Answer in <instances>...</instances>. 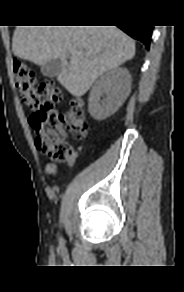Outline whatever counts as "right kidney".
<instances>
[{"mask_svg":"<svg viewBox=\"0 0 184 292\" xmlns=\"http://www.w3.org/2000/svg\"><path fill=\"white\" fill-rule=\"evenodd\" d=\"M131 91V75L124 67L113 68L95 82L90 94L88 110L95 120L114 114ZM101 97L103 98L101 100Z\"/></svg>","mask_w":184,"mask_h":292,"instance_id":"obj_1","label":"right kidney"}]
</instances>
